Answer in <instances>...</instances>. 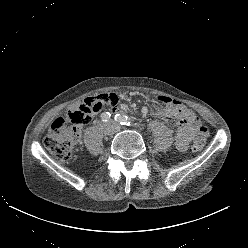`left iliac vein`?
<instances>
[{
	"label": "left iliac vein",
	"mask_w": 248,
	"mask_h": 248,
	"mask_svg": "<svg viewBox=\"0 0 248 248\" xmlns=\"http://www.w3.org/2000/svg\"><path fill=\"white\" fill-rule=\"evenodd\" d=\"M116 130L117 131H120L121 130V127L120 126H117Z\"/></svg>",
	"instance_id": "1"
}]
</instances>
